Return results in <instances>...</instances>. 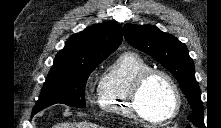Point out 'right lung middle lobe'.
Listing matches in <instances>:
<instances>
[{
  "label": "right lung middle lobe",
  "instance_id": "1",
  "mask_svg": "<svg viewBox=\"0 0 221 128\" xmlns=\"http://www.w3.org/2000/svg\"><path fill=\"white\" fill-rule=\"evenodd\" d=\"M104 59L67 69L50 71L34 106L32 116L56 103L84 108L86 106V81L90 73Z\"/></svg>",
  "mask_w": 221,
  "mask_h": 128
}]
</instances>
